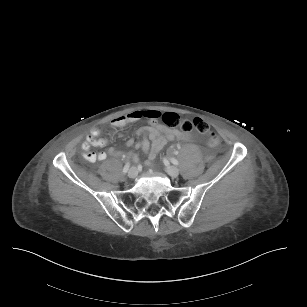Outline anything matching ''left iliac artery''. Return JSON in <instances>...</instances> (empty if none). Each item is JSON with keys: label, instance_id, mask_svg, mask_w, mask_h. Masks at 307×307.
<instances>
[{"label": "left iliac artery", "instance_id": "left-iliac-artery-1", "mask_svg": "<svg viewBox=\"0 0 307 307\" xmlns=\"http://www.w3.org/2000/svg\"><path fill=\"white\" fill-rule=\"evenodd\" d=\"M170 160H171V162H172L174 165H178V164H179V161H178L177 159H175V158H171Z\"/></svg>", "mask_w": 307, "mask_h": 307}]
</instances>
